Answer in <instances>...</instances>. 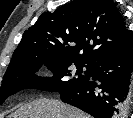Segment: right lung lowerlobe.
<instances>
[{
	"label": "right lung lower lobe",
	"mask_w": 133,
	"mask_h": 118,
	"mask_svg": "<svg viewBox=\"0 0 133 118\" xmlns=\"http://www.w3.org/2000/svg\"><path fill=\"white\" fill-rule=\"evenodd\" d=\"M133 44L100 58L86 83L60 93L61 100L95 118H125L130 102Z\"/></svg>",
	"instance_id": "98d812e1"
}]
</instances>
